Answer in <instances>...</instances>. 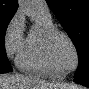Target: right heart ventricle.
I'll use <instances>...</instances> for the list:
<instances>
[{
  "instance_id": "right-heart-ventricle-1",
  "label": "right heart ventricle",
  "mask_w": 89,
  "mask_h": 89,
  "mask_svg": "<svg viewBox=\"0 0 89 89\" xmlns=\"http://www.w3.org/2000/svg\"><path fill=\"white\" fill-rule=\"evenodd\" d=\"M36 14L37 21L30 28L17 56V66L29 74L63 78L65 74L53 65L46 49V35L56 27L50 15Z\"/></svg>"
}]
</instances>
